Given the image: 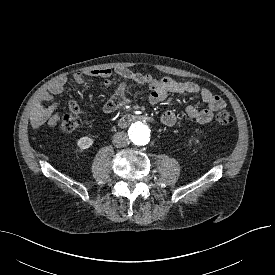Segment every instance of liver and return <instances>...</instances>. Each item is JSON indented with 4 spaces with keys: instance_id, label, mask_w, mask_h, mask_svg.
I'll return each mask as SVG.
<instances>
[{
    "instance_id": "liver-1",
    "label": "liver",
    "mask_w": 275,
    "mask_h": 275,
    "mask_svg": "<svg viewBox=\"0 0 275 275\" xmlns=\"http://www.w3.org/2000/svg\"><path fill=\"white\" fill-rule=\"evenodd\" d=\"M53 108H40L31 117V123L36 124L38 122H43L51 115Z\"/></svg>"
}]
</instances>
